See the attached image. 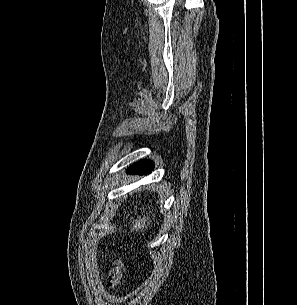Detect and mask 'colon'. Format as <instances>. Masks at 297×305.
I'll use <instances>...</instances> for the list:
<instances>
[{
    "label": "colon",
    "mask_w": 297,
    "mask_h": 305,
    "mask_svg": "<svg viewBox=\"0 0 297 305\" xmlns=\"http://www.w3.org/2000/svg\"><path fill=\"white\" fill-rule=\"evenodd\" d=\"M124 277V264L121 260H117L114 263V267L111 270L108 278V287L114 289L117 287Z\"/></svg>",
    "instance_id": "1"
}]
</instances>
